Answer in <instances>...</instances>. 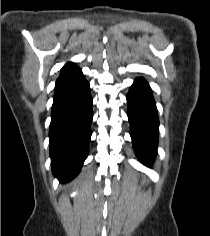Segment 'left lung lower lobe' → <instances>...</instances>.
I'll list each match as a JSON object with an SVG mask.
<instances>
[{
	"instance_id": "left-lung-lower-lobe-1",
	"label": "left lung lower lobe",
	"mask_w": 210,
	"mask_h": 236,
	"mask_svg": "<svg viewBox=\"0 0 210 236\" xmlns=\"http://www.w3.org/2000/svg\"><path fill=\"white\" fill-rule=\"evenodd\" d=\"M131 138L137 156L146 164L155 155L159 120L151 89L143 79H137L127 95Z\"/></svg>"
}]
</instances>
